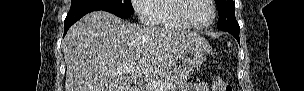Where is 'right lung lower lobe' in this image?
Returning <instances> with one entry per match:
<instances>
[{"label":"right lung lower lobe","mask_w":304,"mask_h":91,"mask_svg":"<svg viewBox=\"0 0 304 91\" xmlns=\"http://www.w3.org/2000/svg\"><path fill=\"white\" fill-rule=\"evenodd\" d=\"M99 10L110 12L107 8L90 3L72 5L64 21V35L67 33L68 29L81 17L92 11Z\"/></svg>","instance_id":"right-lung-lower-lobe-1"}]
</instances>
